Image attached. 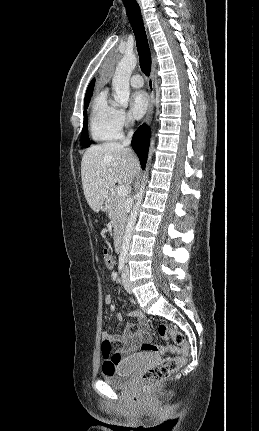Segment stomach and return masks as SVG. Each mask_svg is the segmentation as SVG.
<instances>
[{
    "instance_id": "0dacf381",
    "label": "stomach",
    "mask_w": 259,
    "mask_h": 431,
    "mask_svg": "<svg viewBox=\"0 0 259 431\" xmlns=\"http://www.w3.org/2000/svg\"><path fill=\"white\" fill-rule=\"evenodd\" d=\"M100 208H101L102 210H106V209L108 208V201H106V202L102 203V204H101V206H100Z\"/></svg>"
}]
</instances>
